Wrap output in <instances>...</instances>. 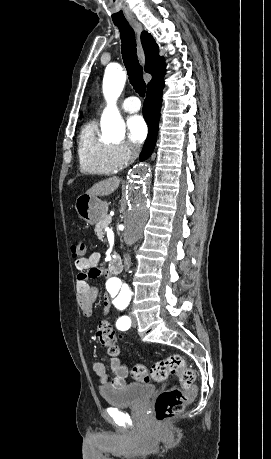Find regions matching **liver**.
<instances>
[{
    "label": "liver",
    "instance_id": "liver-1",
    "mask_svg": "<svg viewBox=\"0 0 271 459\" xmlns=\"http://www.w3.org/2000/svg\"><path fill=\"white\" fill-rule=\"evenodd\" d=\"M119 186L120 178L113 176V178H108V180H103V182L94 184L90 190H87L86 194L92 196V198H96V196H109V194H113Z\"/></svg>",
    "mask_w": 271,
    "mask_h": 459
}]
</instances>
